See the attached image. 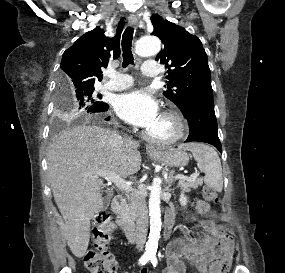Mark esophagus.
<instances>
[{
    "mask_svg": "<svg viewBox=\"0 0 285 273\" xmlns=\"http://www.w3.org/2000/svg\"><path fill=\"white\" fill-rule=\"evenodd\" d=\"M128 22H129V25L132 26V27H137V25H138L137 17L134 14H130L129 15ZM146 151L148 153H156L157 152L155 147L150 145V144L146 145Z\"/></svg>",
    "mask_w": 285,
    "mask_h": 273,
    "instance_id": "obj_1",
    "label": "esophagus"
}]
</instances>
